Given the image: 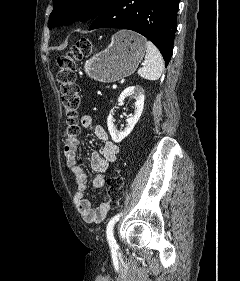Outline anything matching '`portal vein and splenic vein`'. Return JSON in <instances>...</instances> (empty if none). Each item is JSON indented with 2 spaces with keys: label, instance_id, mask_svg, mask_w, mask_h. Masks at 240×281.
I'll return each instance as SVG.
<instances>
[{
  "label": "portal vein and splenic vein",
  "instance_id": "18ae733b",
  "mask_svg": "<svg viewBox=\"0 0 240 281\" xmlns=\"http://www.w3.org/2000/svg\"><path fill=\"white\" fill-rule=\"evenodd\" d=\"M116 88H117V85L114 84V85L112 86V89H116Z\"/></svg>",
  "mask_w": 240,
  "mask_h": 281
}]
</instances>
